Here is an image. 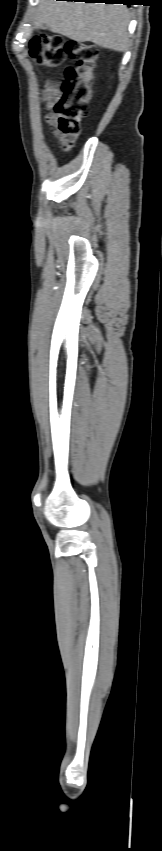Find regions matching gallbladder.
<instances>
[{
  "label": "gallbladder",
  "instance_id": "obj_1",
  "mask_svg": "<svg viewBox=\"0 0 162 851\" xmlns=\"http://www.w3.org/2000/svg\"><path fill=\"white\" fill-rule=\"evenodd\" d=\"M41 28H42V29H48L49 27H48L46 24H43V25L41 26Z\"/></svg>",
  "mask_w": 162,
  "mask_h": 851
}]
</instances>
